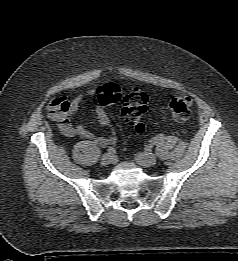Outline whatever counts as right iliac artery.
I'll list each match as a JSON object with an SVG mask.
<instances>
[{
    "mask_svg": "<svg viewBox=\"0 0 238 261\" xmlns=\"http://www.w3.org/2000/svg\"><path fill=\"white\" fill-rule=\"evenodd\" d=\"M108 153L111 154V155L115 154V153H116L115 148L109 147V148H108Z\"/></svg>",
    "mask_w": 238,
    "mask_h": 261,
    "instance_id": "1",
    "label": "right iliac artery"
}]
</instances>
